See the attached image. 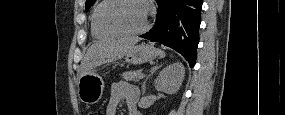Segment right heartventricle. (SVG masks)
<instances>
[{"label":"right heart ventricle","mask_w":285,"mask_h":115,"mask_svg":"<svg viewBox=\"0 0 285 115\" xmlns=\"http://www.w3.org/2000/svg\"><path fill=\"white\" fill-rule=\"evenodd\" d=\"M100 3L96 6V8L93 10L92 15H91V19H90L91 34L95 39H100V40L116 38L118 35L102 30L96 22L95 14H96V10L98 6L100 5Z\"/></svg>","instance_id":"1"}]
</instances>
